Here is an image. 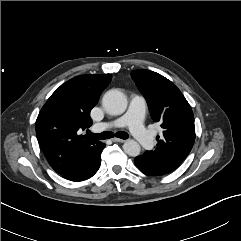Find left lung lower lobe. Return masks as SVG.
<instances>
[{"mask_svg":"<svg viewBox=\"0 0 241 241\" xmlns=\"http://www.w3.org/2000/svg\"><path fill=\"white\" fill-rule=\"evenodd\" d=\"M136 167L143 173L150 176H161L173 172L176 168L160 163L149 162L143 155L134 159Z\"/></svg>","mask_w":241,"mask_h":241,"instance_id":"0a47b994","label":"left lung lower lobe"}]
</instances>
